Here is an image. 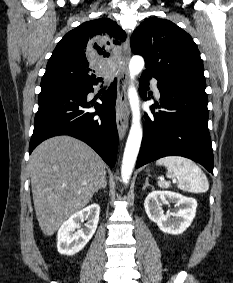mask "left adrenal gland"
I'll use <instances>...</instances> for the list:
<instances>
[{"label":"left adrenal gland","mask_w":233,"mask_h":283,"mask_svg":"<svg viewBox=\"0 0 233 283\" xmlns=\"http://www.w3.org/2000/svg\"><path fill=\"white\" fill-rule=\"evenodd\" d=\"M148 186H151V185L148 182V178H146L145 185L143 186V190H145Z\"/></svg>","instance_id":"a2214340"}]
</instances>
